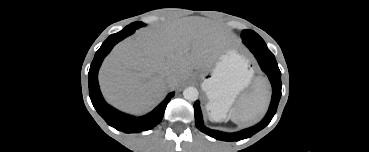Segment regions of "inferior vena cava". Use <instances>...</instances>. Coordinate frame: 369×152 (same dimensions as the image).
I'll use <instances>...</instances> for the list:
<instances>
[{"instance_id":"obj_1","label":"inferior vena cava","mask_w":369,"mask_h":152,"mask_svg":"<svg viewBox=\"0 0 369 152\" xmlns=\"http://www.w3.org/2000/svg\"><path fill=\"white\" fill-rule=\"evenodd\" d=\"M166 80H167L168 83H171L173 81V76L168 75Z\"/></svg>"}]
</instances>
